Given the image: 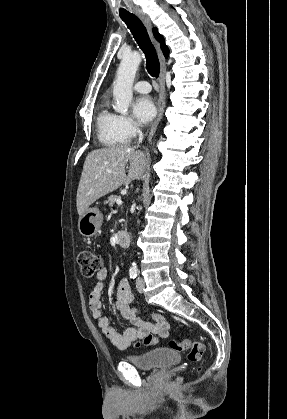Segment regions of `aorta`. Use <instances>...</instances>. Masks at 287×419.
Masks as SVG:
<instances>
[{"label":"aorta","mask_w":287,"mask_h":419,"mask_svg":"<svg viewBox=\"0 0 287 419\" xmlns=\"http://www.w3.org/2000/svg\"><path fill=\"white\" fill-rule=\"evenodd\" d=\"M140 62V53L134 51L125 54L118 67L116 79L113 83V96L116 100V106L114 109L120 114H127L129 105L133 98L132 86ZM131 270H137L135 262L132 263Z\"/></svg>","instance_id":"obj_1"}]
</instances>
